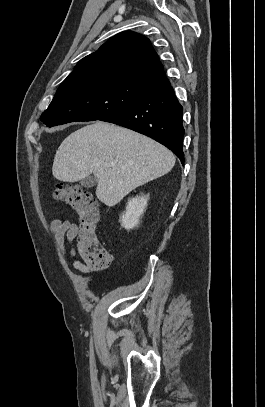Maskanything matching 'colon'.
I'll return each instance as SVG.
<instances>
[{"instance_id": "colon-1", "label": "colon", "mask_w": 265, "mask_h": 407, "mask_svg": "<svg viewBox=\"0 0 265 407\" xmlns=\"http://www.w3.org/2000/svg\"><path fill=\"white\" fill-rule=\"evenodd\" d=\"M53 198L66 203L79 217L80 230L76 238L78 261L89 270H104L112 263V254L98 244L96 229L100 222L97 201L86 190L68 185H57Z\"/></svg>"}]
</instances>
